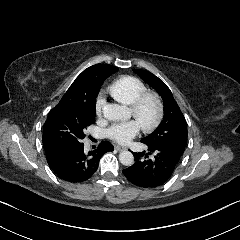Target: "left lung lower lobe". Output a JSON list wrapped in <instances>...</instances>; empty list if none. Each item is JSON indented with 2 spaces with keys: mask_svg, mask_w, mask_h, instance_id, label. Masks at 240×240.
<instances>
[{
  "mask_svg": "<svg viewBox=\"0 0 240 240\" xmlns=\"http://www.w3.org/2000/svg\"><path fill=\"white\" fill-rule=\"evenodd\" d=\"M148 154L134 153V165L123 170V174L133 185L141 188H155L163 185L171 177L181 155L162 147H148ZM154 154V158L148 155Z\"/></svg>",
  "mask_w": 240,
  "mask_h": 240,
  "instance_id": "obj_1",
  "label": "left lung lower lobe"
}]
</instances>
